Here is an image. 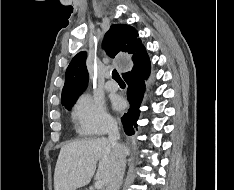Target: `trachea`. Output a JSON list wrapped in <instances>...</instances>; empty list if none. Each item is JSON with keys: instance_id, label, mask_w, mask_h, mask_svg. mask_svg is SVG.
I'll list each match as a JSON object with an SVG mask.
<instances>
[{"instance_id": "obj_1", "label": "trachea", "mask_w": 234, "mask_h": 190, "mask_svg": "<svg viewBox=\"0 0 234 190\" xmlns=\"http://www.w3.org/2000/svg\"><path fill=\"white\" fill-rule=\"evenodd\" d=\"M112 78H113L114 80H116V81H122V79H121V77H120V75L118 74V72H117L116 69H114V70L112 71Z\"/></svg>"}]
</instances>
